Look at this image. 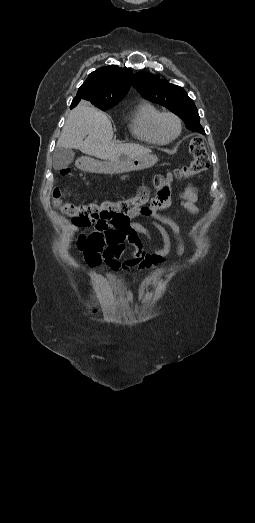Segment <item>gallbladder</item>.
Segmentation results:
<instances>
[{"instance_id": "bac80fb5", "label": "gallbladder", "mask_w": 255, "mask_h": 523, "mask_svg": "<svg viewBox=\"0 0 255 523\" xmlns=\"http://www.w3.org/2000/svg\"><path fill=\"white\" fill-rule=\"evenodd\" d=\"M75 152L72 148H56L53 152V168L54 170H63L73 162ZM122 158V156H121Z\"/></svg>"}]
</instances>
